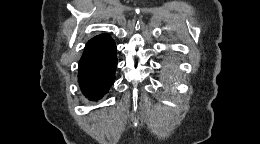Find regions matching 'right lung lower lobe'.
<instances>
[{
    "mask_svg": "<svg viewBox=\"0 0 260 144\" xmlns=\"http://www.w3.org/2000/svg\"><path fill=\"white\" fill-rule=\"evenodd\" d=\"M116 45L107 34L95 36L85 46L79 61L78 77L82 93L89 100H99L115 81Z\"/></svg>",
    "mask_w": 260,
    "mask_h": 144,
    "instance_id": "right-lung-lower-lobe-1",
    "label": "right lung lower lobe"
}]
</instances>
